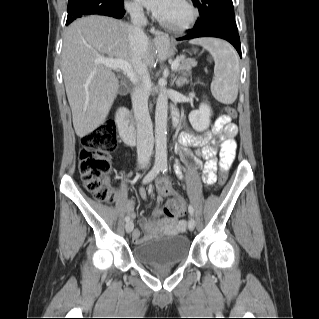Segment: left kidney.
Returning <instances> with one entry per match:
<instances>
[{"label":"left kidney","instance_id":"5707ae66","mask_svg":"<svg viewBox=\"0 0 319 319\" xmlns=\"http://www.w3.org/2000/svg\"><path fill=\"white\" fill-rule=\"evenodd\" d=\"M212 111L209 105L201 103L198 110H193L189 114V121L192 127L198 131L206 130L210 125Z\"/></svg>","mask_w":319,"mask_h":319}]
</instances>
